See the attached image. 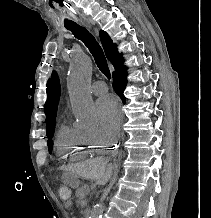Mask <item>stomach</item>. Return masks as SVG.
<instances>
[{"instance_id": "0dacf381", "label": "stomach", "mask_w": 211, "mask_h": 218, "mask_svg": "<svg viewBox=\"0 0 211 218\" xmlns=\"http://www.w3.org/2000/svg\"><path fill=\"white\" fill-rule=\"evenodd\" d=\"M64 182L66 185L72 188H77L80 185V181L78 180V177L74 174H67L65 176Z\"/></svg>"}]
</instances>
